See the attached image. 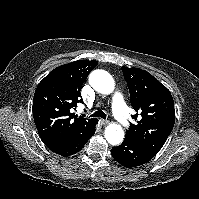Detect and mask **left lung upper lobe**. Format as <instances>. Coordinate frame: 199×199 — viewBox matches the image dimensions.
<instances>
[{"instance_id": "left-lung-upper-lobe-1", "label": "left lung upper lobe", "mask_w": 199, "mask_h": 199, "mask_svg": "<svg viewBox=\"0 0 199 199\" xmlns=\"http://www.w3.org/2000/svg\"><path fill=\"white\" fill-rule=\"evenodd\" d=\"M127 82L131 105L139 121L131 124L126 137L157 153L175 123L174 102L170 91L145 70L122 67Z\"/></svg>"}]
</instances>
